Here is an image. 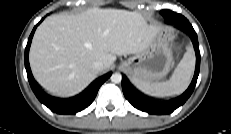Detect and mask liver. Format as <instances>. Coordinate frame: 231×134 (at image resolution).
Here are the masks:
<instances>
[{"instance_id":"obj_1","label":"liver","mask_w":231,"mask_h":134,"mask_svg":"<svg viewBox=\"0 0 231 134\" xmlns=\"http://www.w3.org/2000/svg\"><path fill=\"white\" fill-rule=\"evenodd\" d=\"M161 28L138 12L91 8L81 14H56L36 30L30 65L37 82L53 95L81 92L96 77L95 61L107 70L116 55L144 50Z\"/></svg>"}]
</instances>
